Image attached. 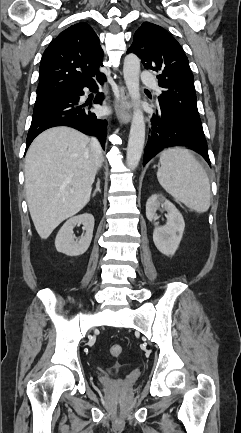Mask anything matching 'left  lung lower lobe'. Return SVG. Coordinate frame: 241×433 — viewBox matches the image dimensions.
Returning <instances> with one entry per match:
<instances>
[{"label":"left lung lower lobe","mask_w":241,"mask_h":433,"mask_svg":"<svg viewBox=\"0 0 241 433\" xmlns=\"http://www.w3.org/2000/svg\"><path fill=\"white\" fill-rule=\"evenodd\" d=\"M172 146L189 147L201 154L210 165L205 136L196 133L169 110L159 106L151 117L143 165L162 149Z\"/></svg>","instance_id":"1"}]
</instances>
